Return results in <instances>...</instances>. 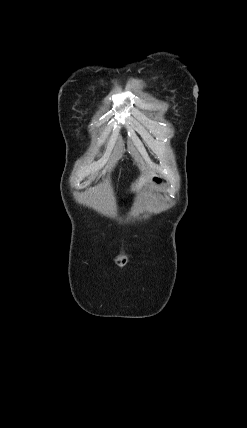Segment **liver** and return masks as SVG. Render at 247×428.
Listing matches in <instances>:
<instances>
[{
	"mask_svg": "<svg viewBox=\"0 0 247 428\" xmlns=\"http://www.w3.org/2000/svg\"><path fill=\"white\" fill-rule=\"evenodd\" d=\"M140 181H141V182L145 181V178H144V177H142V178L140 179Z\"/></svg>",
	"mask_w": 247,
	"mask_h": 428,
	"instance_id": "6515ba94",
	"label": "liver"
}]
</instances>
